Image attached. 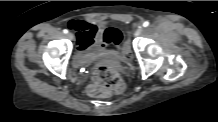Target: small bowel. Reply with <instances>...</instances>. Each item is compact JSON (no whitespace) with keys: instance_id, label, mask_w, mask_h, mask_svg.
<instances>
[{"instance_id":"1","label":"small bowel","mask_w":218,"mask_h":122,"mask_svg":"<svg viewBox=\"0 0 218 122\" xmlns=\"http://www.w3.org/2000/svg\"><path fill=\"white\" fill-rule=\"evenodd\" d=\"M68 26L76 32L77 48L81 52L88 49H90L94 55H101L105 52V49L101 46L103 28L82 20H70ZM125 44L126 39L124 40L122 47L115 52L122 50Z\"/></svg>"}]
</instances>
